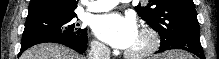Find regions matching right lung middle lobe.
I'll list each match as a JSON object with an SVG mask.
<instances>
[{"mask_svg":"<svg viewBox=\"0 0 219 59\" xmlns=\"http://www.w3.org/2000/svg\"><path fill=\"white\" fill-rule=\"evenodd\" d=\"M75 17V12L39 10L28 13L21 48L61 38L86 43L87 30L79 27Z\"/></svg>","mask_w":219,"mask_h":59,"instance_id":"obj_1","label":"right lung middle lobe"}]
</instances>
